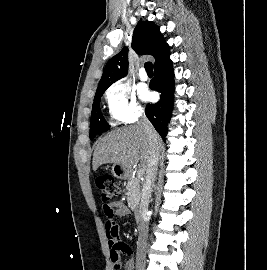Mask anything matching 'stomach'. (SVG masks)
Segmentation results:
<instances>
[{
  "label": "stomach",
  "instance_id": "0dacf381",
  "mask_svg": "<svg viewBox=\"0 0 267 270\" xmlns=\"http://www.w3.org/2000/svg\"><path fill=\"white\" fill-rule=\"evenodd\" d=\"M112 173L116 178L123 180L128 179L131 176V170L120 164H114L112 166Z\"/></svg>",
  "mask_w": 267,
  "mask_h": 270
}]
</instances>
